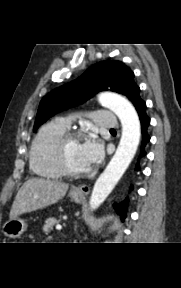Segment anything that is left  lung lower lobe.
Masks as SVG:
<instances>
[{
  "label": "left lung lower lobe",
  "mask_w": 181,
  "mask_h": 288,
  "mask_svg": "<svg viewBox=\"0 0 181 288\" xmlns=\"http://www.w3.org/2000/svg\"><path fill=\"white\" fill-rule=\"evenodd\" d=\"M139 91L133 96V98L131 99V102L135 106V108L138 112L139 118H140V122H141L142 137H143L142 146H141V154L139 156V158H141L142 156L145 155L144 147H145L146 143L149 142V140H150V137L147 133V127L150 123V119L146 115V112H145L146 103L140 98ZM139 169H140L139 163H137L135 170H139ZM127 205H128V198H126L119 205L115 204V208H116V210H118V213L121 215L122 220H124L126 217Z\"/></svg>",
  "instance_id": "0a47b994"
}]
</instances>
